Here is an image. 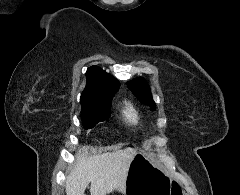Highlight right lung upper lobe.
<instances>
[{"label":"right lung upper lobe","mask_w":240,"mask_h":195,"mask_svg":"<svg viewBox=\"0 0 240 195\" xmlns=\"http://www.w3.org/2000/svg\"><path fill=\"white\" fill-rule=\"evenodd\" d=\"M86 86L80 101H110L120 83L98 66H91L86 72Z\"/></svg>","instance_id":"cb5924a9"}]
</instances>
